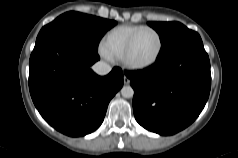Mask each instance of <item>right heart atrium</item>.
Instances as JSON below:
<instances>
[{
    "label": "right heart atrium",
    "mask_w": 238,
    "mask_h": 158,
    "mask_svg": "<svg viewBox=\"0 0 238 158\" xmlns=\"http://www.w3.org/2000/svg\"><path fill=\"white\" fill-rule=\"evenodd\" d=\"M100 54H101L104 58H106V59H108V60H112V59H113V57L110 56L107 52H105L102 47H100Z\"/></svg>",
    "instance_id": "1"
}]
</instances>
